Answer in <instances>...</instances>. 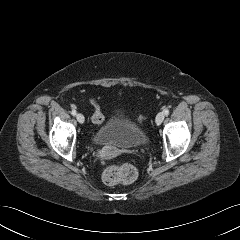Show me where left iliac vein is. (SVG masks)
<instances>
[{
  "mask_svg": "<svg viewBox=\"0 0 240 240\" xmlns=\"http://www.w3.org/2000/svg\"><path fill=\"white\" fill-rule=\"evenodd\" d=\"M165 114L163 112H159L156 116V124L160 125L164 120Z\"/></svg>",
  "mask_w": 240,
  "mask_h": 240,
  "instance_id": "1",
  "label": "left iliac vein"
}]
</instances>
